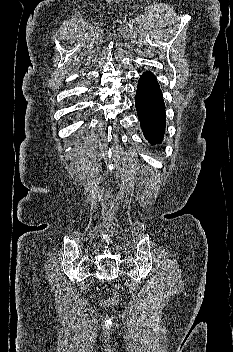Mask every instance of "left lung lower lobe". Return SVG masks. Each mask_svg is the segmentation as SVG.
<instances>
[{"instance_id":"0a47b994","label":"left lung lower lobe","mask_w":233,"mask_h":352,"mask_svg":"<svg viewBox=\"0 0 233 352\" xmlns=\"http://www.w3.org/2000/svg\"><path fill=\"white\" fill-rule=\"evenodd\" d=\"M135 106L144 136L159 144L165 131V105L156 76L146 71L138 81Z\"/></svg>"}]
</instances>
